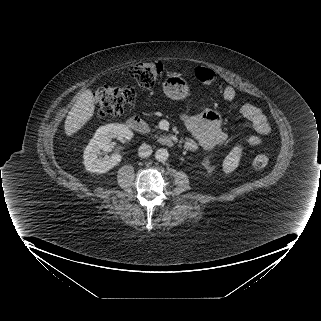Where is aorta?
<instances>
[{
	"instance_id": "1",
	"label": "aorta",
	"mask_w": 321,
	"mask_h": 321,
	"mask_svg": "<svg viewBox=\"0 0 321 321\" xmlns=\"http://www.w3.org/2000/svg\"><path fill=\"white\" fill-rule=\"evenodd\" d=\"M169 157V153L166 149L160 148L155 152V158L159 162H165Z\"/></svg>"
}]
</instances>
